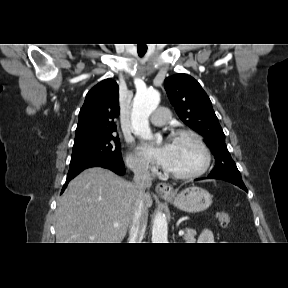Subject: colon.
Listing matches in <instances>:
<instances>
[{"mask_svg": "<svg viewBox=\"0 0 288 288\" xmlns=\"http://www.w3.org/2000/svg\"><path fill=\"white\" fill-rule=\"evenodd\" d=\"M219 226L227 228L231 223V216L228 212L221 211L217 214Z\"/></svg>", "mask_w": 288, "mask_h": 288, "instance_id": "5ec220e1", "label": "colon"}]
</instances>
